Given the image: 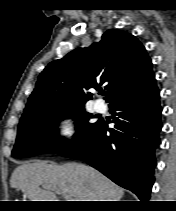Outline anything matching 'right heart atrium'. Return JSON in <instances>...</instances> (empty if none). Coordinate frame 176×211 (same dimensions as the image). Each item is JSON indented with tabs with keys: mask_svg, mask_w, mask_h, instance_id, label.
I'll return each mask as SVG.
<instances>
[{
	"mask_svg": "<svg viewBox=\"0 0 176 211\" xmlns=\"http://www.w3.org/2000/svg\"><path fill=\"white\" fill-rule=\"evenodd\" d=\"M55 131L64 142H72L77 138L79 119L76 114L66 112L61 114L55 121Z\"/></svg>",
	"mask_w": 176,
	"mask_h": 211,
	"instance_id": "d8ad5b80",
	"label": "right heart atrium"
}]
</instances>
